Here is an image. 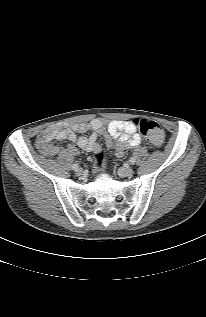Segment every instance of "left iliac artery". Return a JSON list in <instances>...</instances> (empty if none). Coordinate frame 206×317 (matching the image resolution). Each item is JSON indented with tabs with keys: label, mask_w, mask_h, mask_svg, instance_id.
Instances as JSON below:
<instances>
[{
	"label": "left iliac artery",
	"mask_w": 206,
	"mask_h": 317,
	"mask_svg": "<svg viewBox=\"0 0 206 317\" xmlns=\"http://www.w3.org/2000/svg\"><path fill=\"white\" fill-rule=\"evenodd\" d=\"M129 162H130V164H134L136 162V159L134 157H131Z\"/></svg>",
	"instance_id": "44dca946"
}]
</instances>
